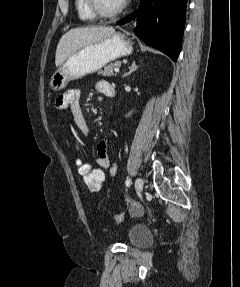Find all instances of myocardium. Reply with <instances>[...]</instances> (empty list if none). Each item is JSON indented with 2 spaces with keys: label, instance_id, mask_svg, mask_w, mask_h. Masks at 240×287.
I'll return each mask as SVG.
<instances>
[{
  "label": "myocardium",
  "instance_id": "f54148a6",
  "mask_svg": "<svg viewBox=\"0 0 240 287\" xmlns=\"http://www.w3.org/2000/svg\"><path fill=\"white\" fill-rule=\"evenodd\" d=\"M127 3V0H123L117 8L113 10H104L100 5L99 0H88V5L92 13L100 18H112L119 15L125 10Z\"/></svg>",
  "mask_w": 240,
  "mask_h": 287
}]
</instances>
